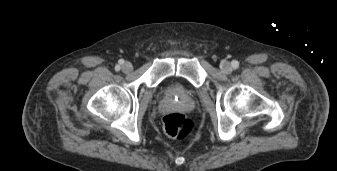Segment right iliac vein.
<instances>
[{
  "mask_svg": "<svg viewBox=\"0 0 337 171\" xmlns=\"http://www.w3.org/2000/svg\"><path fill=\"white\" fill-rule=\"evenodd\" d=\"M132 64L130 62H125L123 65H122V70L123 72L125 73H129L132 71Z\"/></svg>",
  "mask_w": 337,
  "mask_h": 171,
  "instance_id": "1",
  "label": "right iliac vein"
}]
</instances>
